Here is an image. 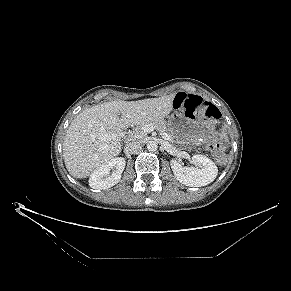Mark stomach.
<instances>
[{
  "instance_id": "1",
  "label": "stomach",
  "mask_w": 291,
  "mask_h": 291,
  "mask_svg": "<svg viewBox=\"0 0 291 291\" xmlns=\"http://www.w3.org/2000/svg\"><path fill=\"white\" fill-rule=\"evenodd\" d=\"M169 125L172 130H185L188 138L196 140L209 138L215 129V123L212 120L202 118L191 119L179 113L169 117Z\"/></svg>"
}]
</instances>
